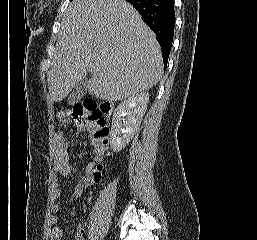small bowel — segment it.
Segmentation results:
<instances>
[{"label": "small bowel", "instance_id": "1", "mask_svg": "<svg viewBox=\"0 0 257 240\" xmlns=\"http://www.w3.org/2000/svg\"><path fill=\"white\" fill-rule=\"evenodd\" d=\"M53 140H54V149H55L54 170L60 176L67 177L72 173V165L70 163L69 153H68L69 141L63 132L56 133L54 135ZM94 166H95V162H90L87 164L83 176L78 181L71 196L69 197L70 201L76 200L86 188L100 181L101 177H97L94 174ZM54 195L57 198L61 196V192L57 187L54 188ZM58 211H59V206L56 204L52 205L50 221L53 227L49 234L50 240H62L63 238L61 229L56 226L58 222V216H57ZM74 239L85 240V233L82 226L77 227L74 233Z\"/></svg>", "mask_w": 257, "mask_h": 240}]
</instances>
